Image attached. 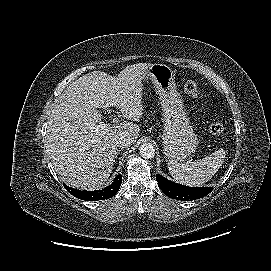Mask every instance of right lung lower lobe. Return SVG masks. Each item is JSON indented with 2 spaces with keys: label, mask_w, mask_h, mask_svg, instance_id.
Here are the masks:
<instances>
[{
  "label": "right lung lower lobe",
  "mask_w": 271,
  "mask_h": 271,
  "mask_svg": "<svg viewBox=\"0 0 271 271\" xmlns=\"http://www.w3.org/2000/svg\"><path fill=\"white\" fill-rule=\"evenodd\" d=\"M122 183V177L121 175H118L113 183L109 185L108 187H105L102 190H95V191H81L74 188H71L64 184L65 189L72 194L73 196L86 200V201H98V200H104L107 198L113 197L118 190L120 189Z\"/></svg>",
  "instance_id": "98d812e1"
}]
</instances>
